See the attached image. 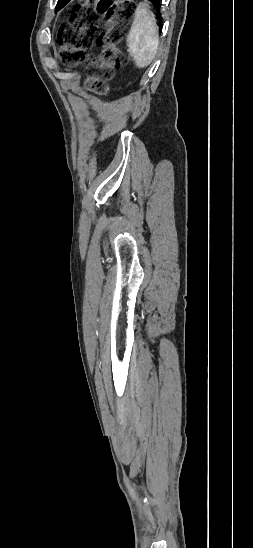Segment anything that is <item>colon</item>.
I'll use <instances>...</instances> for the list:
<instances>
[{"mask_svg":"<svg viewBox=\"0 0 253 548\" xmlns=\"http://www.w3.org/2000/svg\"><path fill=\"white\" fill-rule=\"evenodd\" d=\"M133 0H80L72 10L71 24L60 29L58 42L60 56L70 66L87 62L86 87L97 94H105L115 70L127 59L117 48L122 39L123 26L134 14ZM108 17V25L96 39L100 54L88 59L101 16Z\"/></svg>","mask_w":253,"mask_h":548,"instance_id":"1","label":"colon"}]
</instances>
